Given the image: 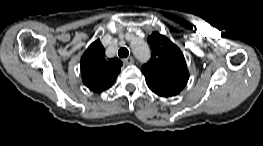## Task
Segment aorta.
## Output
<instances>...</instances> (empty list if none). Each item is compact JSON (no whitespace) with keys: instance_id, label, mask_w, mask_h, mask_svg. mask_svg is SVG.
Listing matches in <instances>:
<instances>
[{"instance_id":"aorta-1","label":"aorta","mask_w":263,"mask_h":146,"mask_svg":"<svg viewBox=\"0 0 263 146\" xmlns=\"http://www.w3.org/2000/svg\"><path fill=\"white\" fill-rule=\"evenodd\" d=\"M132 51L140 63H146L151 58V51L148 44L140 38L131 41Z\"/></svg>"}]
</instances>
